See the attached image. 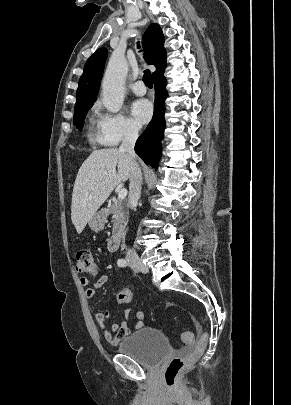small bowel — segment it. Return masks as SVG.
<instances>
[{
	"label": "small bowel",
	"instance_id": "obj_1",
	"mask_svg": "<svg viewBox=\"0 0 291 405\" xmlns=\"http://www.w3.org/2000/svg\"><path fill=\"white\" fill-rule=\"evenodd\" d=\"M108 281V276L103 274L97 278L96 281L91 283L88 278L82 277L80 284L86 287L85 296L87 299H92L95 296L96 290L104 286ZM130 310L125 311V320L121 323H111V330L107 328V323L110 320V311L97 312L93 316L95 325L101 330L105 340L111 345H117L123 338L130 333V327L128 324V318ZM144 313L139 311L136 313L137 322L134 325V329H140L144 325Z\"/></svg>",
	"mask_w": 291,
	"mask_h": 405
}]
</instances>
